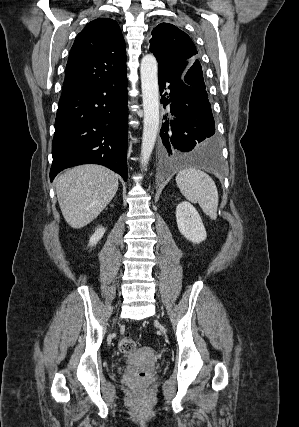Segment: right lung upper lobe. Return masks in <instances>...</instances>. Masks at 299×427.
<instances>
[{"instance_id": "obj_1", "label": "right lung upper lobe", "mask_w": 299, "mask_h": 427, "mask_svg": "<svg viewBox=\"0 0 299 427\" xmlns=\"http://www.w3.org/2000/svg\"><path fill=\"white\" fill-rule=\"evenodd\" d=\"M126 70L125 42L116 21L98 18L77 35L62 94L112 79Z\"/></svg>"}]
</instances>
